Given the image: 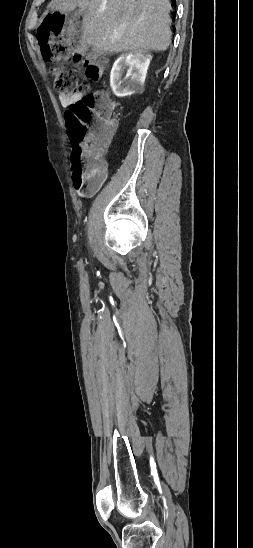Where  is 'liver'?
I'll list each match as a JSON object with an SVG mask.
<instances>
[{"label": "liver", "instance_id": "6515ba94", "mask_svg": "<svg viewBox=\"0 0 253 548\" xmlns=\"http://www.w3.org/2000/svg\"><path fill=\"white\" fill-rule=\"evenodd\" d=\"M83 11L82 40L97 52L165 51L171 42L168 0H51L48 9Z\"/></svg>", "mask_w": 253, "mask_h": 548}]
</instances>
